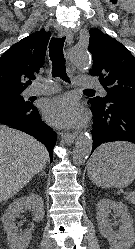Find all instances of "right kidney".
<instances>
[{
    "mask_svg": "<svg viewBox=\"0 0 135 249\" xmlns=\"http://www.w3.org/2000/svg\"><path fill=\"white\" fill-rule=\"evenodd\" d=\"M24 209L32 210L33 220L36 222L44 218V204L40 196L31 194L14 200L2 217L10 249H26L32 238V233L29 230L18 234V228L14 222L15 218L22 213Z\"/></svg>",
    "mask_w": 135,
    "mask_h": 249,
    "instance_id": "ca27d5eb",
    "label": "right kidney"
}]
</instances>
